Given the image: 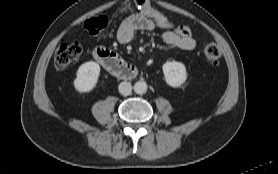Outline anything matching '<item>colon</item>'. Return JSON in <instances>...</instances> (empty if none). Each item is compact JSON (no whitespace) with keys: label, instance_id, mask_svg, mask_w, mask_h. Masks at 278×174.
Here are the masks:
<instances>
[{"label":"colon","instance_id":"5ec220e1","mask_svg":"<svg viewBox=\"0 0 278 174\" xmlns=\"http://www.w3.org/2000/svg\"><path fill=\"white\" fill-rule=\"evenodd\" d=\"M134 4L138 9L142 10L146 15L151 17L156 25L164 30H169L179 37L189 38L193 37L192 30L188 25L176 24L171 21L168 17L153 9L148 0H132L127 2L123 7L122 11L127 12L131 5ZM108 24L106 16H98L88 19L84 26L92 34H96L103 30ZM82 54V48L78 43H62L59 45L55 52L54 64L58 70H64L76 61ZM204 58L210 64H217L221 58V49L214 43H207L203 50Z\"/></svg>","mask_w":278,"mask_h":174}]
</instances>
